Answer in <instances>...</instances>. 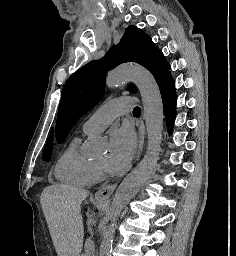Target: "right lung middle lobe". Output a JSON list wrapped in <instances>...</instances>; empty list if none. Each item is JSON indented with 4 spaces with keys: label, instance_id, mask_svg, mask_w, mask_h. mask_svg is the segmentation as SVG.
I'll list each match as a JSON object with an SVG mask.
<instances>
[{
    "label": "right lung middle lobe",
    "instance_id": "dd1d6c3e",
    "mask_svg": "<svg viewBox=\"0 0 236 256\" xmlns=\"http://www.w3.org/2000/svg\"><path fill=\"white\" fill-rule=\"evenodd\" d=\"M51 151H52V142L47 143L44 147V152H43V160L48 161L51 156Z\"/></svg>",
    "mask_w": 236,
    "mask_h": 256
}]
</instances>
